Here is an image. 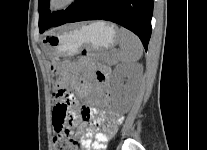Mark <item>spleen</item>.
Returning <instances> with one entry per match:
<instances>
[{
	"label": "spleen",
	"mask_w": 207,
	"mask_h": 150,
	"mask_svg": "<svg viewBox=\"0 0 207 150\" xmlns=\"http://www.w3.org/2000/svg\"><path fill=\"white\" fill-rule=\"evenodd\" d=\"M120 50L117 54L119 61L125 64L137 62L143 54V46L139 38L125 28L118 31Z\"/></svg>",
	"instance_id": "spleen-1"
}]
</instances>
